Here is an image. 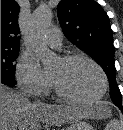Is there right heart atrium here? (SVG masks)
I'll list each match as a JSON object with an SVG mask.
<instances>
[{
	"label": "right heart atrium",
	"instance_id": "obj_1",
	"mask_svg": "<svg viewBox=\"0 0 123 130\" xmlns=\"http://www.w3.org/2000/svg\"><path fill=\"white\" fill-rule=\"evenodd\" d=\"M16 79L20 88L34 96L45 95L50 87L49 77L41 70L33 56L23 53L16 66Z\"/></svg>",
	"mask_w": 123,
	"mask_h": 130
}]
</instances>
